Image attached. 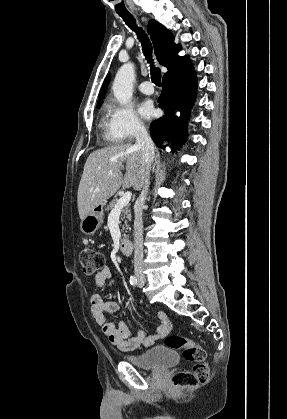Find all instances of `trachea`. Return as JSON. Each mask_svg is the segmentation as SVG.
I'll use <instances>...</instances> for the list:
<instances>
[{
  "mask_svg": "<svg viewBox=\"0 0 287 419\" xmlns=\"http://www.w3.org/2000/svg\"><path fill=\"white\" fill-rule=\"evenodd\" d=\"M119 15L122 17V19L127 24V26L137 33L138 39L142 44L145 58L146 60H148V63H150V66H151V80L156 86H160L161 85V71L160 69L156 68L153 65L152 45L147 35L145 34L144 31H142L141 28L137 27L136 21L133 15L131 14H119Z\"/></svg>",
  "mask_w": 287,
  "mask_h": 419,
  "instance_id": "trachea-1",
  "label": "trachea"
}]
</instances>
